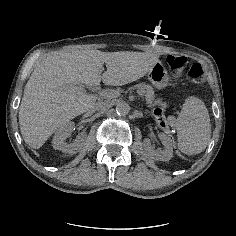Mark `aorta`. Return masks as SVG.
<instances>
[{"label":"aorta","mask_w":236,"mask_h":236,"mask_svg":"<svg viewBox=\"0 0 236 236\" xmlns=\"http://www.w3.org/2000/svg\"><path fill=\"white\" fill-rule=\"evenodd\" d=\"M116 113L120 116H125L130 111V106L127 102L122 101L116 104Z\"/></svg>","instance_id":"obj_1"}]
</instances>
